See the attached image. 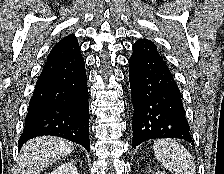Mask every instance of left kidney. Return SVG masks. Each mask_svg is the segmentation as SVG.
<instances>
[{
	"instance_id": "5707ae66",
	"label": "left kidney",
	"mask_w": 224,
	"mask_h": 174,
	"mask_svg": "<svg viewBox=\"0 0 224 174\" xmlns=\"http://www.w3.org/2000/svg\"><path fill=\"white\" fill-rule=\"evenodd\" d=\"M157 174H164V173H162V172H158Z\"/></svg>"
}]
</instances>
